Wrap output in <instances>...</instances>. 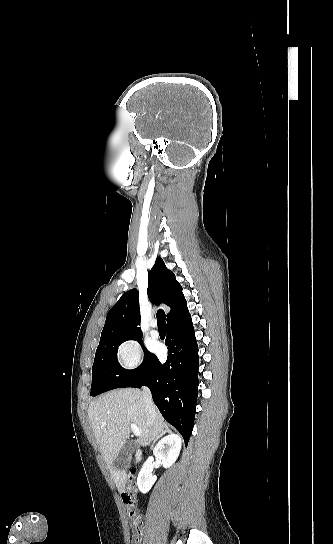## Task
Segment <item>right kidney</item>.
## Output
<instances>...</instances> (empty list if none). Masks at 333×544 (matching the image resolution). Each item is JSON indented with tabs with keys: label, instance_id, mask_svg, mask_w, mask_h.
<instances>
[{
	"label": "right kidney",
	"instance_id": "1",
	"mask_svg": "<svg viewBox=\"0 0 333 544\" xmlns=\"http://www.w3.org/2000/svg\"><path fill=\"white\" fill-rule=\"evenodd\" d=\"M180 449V437L176 434L170 433L159 441L153 450V455L158 461H160L164 468H169L177 460ZM153 461V457H149L139 472L137 485L142 493H147L157 479L155 475H152Z\"/></svg>",
	"mask_w": 333,
	"mask_h": 544
}]
</instances>
